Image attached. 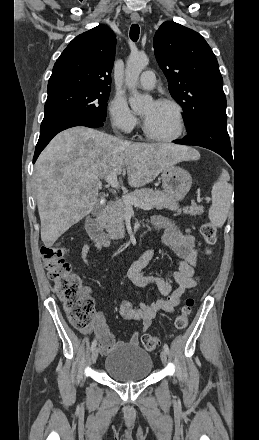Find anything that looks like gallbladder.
Instances as JSON below:
<instances>
[{"label":"gallbladder","instance_id":"gallbladder-1","mask_svg":"<svg viewBox=\"0 0 259 440\" xmlns=\"http://www.w3.org/2000/svg\"><path fill=\"white\" fill-rule=\"evenodd\" d=\"M102 208L103 206L99 202H97L94 206L93 214L98 215L101 212Z\"/></svg>","mask_w":259,"mask_h":440}]
</instances>
